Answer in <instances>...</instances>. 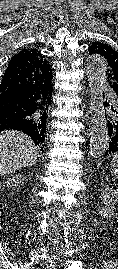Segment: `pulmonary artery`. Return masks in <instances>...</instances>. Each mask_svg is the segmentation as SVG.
Masks as SVG:
<instances>
[{
  "label": "pulmonary artery",
  "mask_w": 118,
  "mask_h": 269,
  "mask_svg": "<svg viewBox=\"0 0 118 269\" xmlns=\"http://www.w3.org/2000/svg\"><path fill=\"white\" fill-rule=\"evenodd\" d=\"M108 96H109V99H110V101H111L112 103H114V104L117 103L116 97H115V95H114L112 92H110V93L108 94Z\"/></svg>",
  "instance_id": "obj_1"
}]
</instances>
